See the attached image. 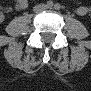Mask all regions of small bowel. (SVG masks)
Wrapping results in <instances>:
<instances>
[{"mask_svg": "<svg viewBox=\"0 0 91 91\" xmlns=\"http://www.w3.org/2000/svg\"><path fill=\"white\" fill-rule=\"evenodd\" d=\"M27 6H28L27 0H17L15 2L14 8L16 10H23V9L27 8ZM6 11H9V9H7ZM77 13L80 15L85 14L86 13V7H84V6L78 7Z\"/></svg>", "mask_w": 91, "mask_h": 91, "instance_id": "small-bowel-1", "label": "small bowel"}]
</instances>
